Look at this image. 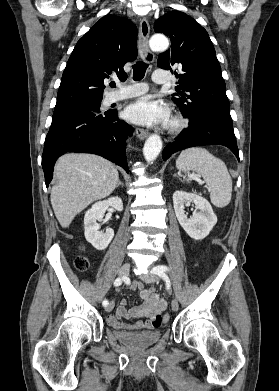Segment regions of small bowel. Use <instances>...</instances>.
I'll list each match as a JSON object with an SVG mask.
<instances>
[{
	"instance_id": "small-bowel-1",
	"label": "small bowel",
	"mask_w": 279,
	"mask_h": 391,
	"mask_svg": "<svg viewBox=\"0 0 279 391\" xmlns=\"http://www.w3.org/2000/svg\"><path fill=\"white\" fill-rule=\"evenodd\" d=\"M133 290H139L141 298L144 303L140 306L127 308V301L122 299L114 314L107 317V322L116 329H153L161 325V315L167 308L166 301L159 297V295L152 288H145L140 282L132 284ZM132 318H144V321H137L134 323H125L124 320Z\"/></svg>"
}]
</instances>
